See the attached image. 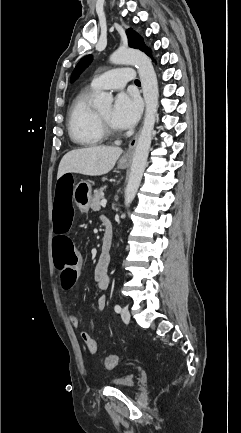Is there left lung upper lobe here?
<instances>
[{
    "instance_id": "1",
    "label": "left lung upper lobe",
    "mask_w": 241,
    "mask_h": 433,
    "mask_svg": "<svg viewBox=\"0 0 241 433\" xmlns=\"http://www.w3.org/2000/svg\"><path fill=\"white\" fill-rule=\"evenodd\" d=\"M127 37H128V43L129 46L135 49H139L146 53L149 57H151V51L150 49L144 44V41L142 37H140L134 30L128 29L126 31ZM92 60L91 56H86L80 60V62L77 64L76 68L74 69V72L72 74L71 80L76 79L79 74L90 64Z\"/></svg>"
}]
</instances>
